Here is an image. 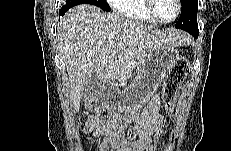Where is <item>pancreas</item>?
<instances>
[{
	"label": "pancreas",
	"mask_w": 231,
	"mask_h": 151,
	"mask_svg": "<svg viewBox=\"0 0 231 151\" xmlns=\"http://www.w3.org/2000/svg\"><path fill=\"white\" fill-rule=\"evenodd\" d=\"M126 78H123V77H121V78H119V81H124Z\"/></svg>",
	"instance_id": "1"
}]
</instances>
